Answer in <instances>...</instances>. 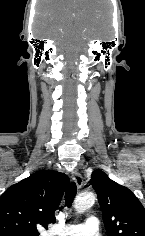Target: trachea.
<instances>
[{
    "label": "trachea",
    "instance_id": "3493384b",
    "mask_svg": "<svg viewBox=\"0 0 145 236\" xmlns=\"http://www.w3.org/2000/svg\"><path fill=\"white\" fill-rule=\"evenodd\" d=\"M77 192V186L74 182L70 183L67 186L66 192H65V204L67 207H71L73 200L76 196Z\"/></svg>",
    "mask_w": 145,
    "mask_h": 236
}]
</instances>
